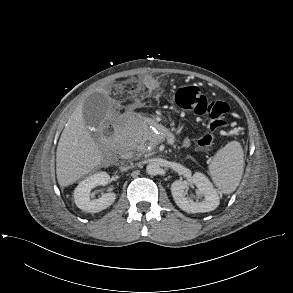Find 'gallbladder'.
<instances>
[{"label": "gallbladder", "instance_id": "bac80fb5", "mask_svg": "<svg viewBox=\"0 0 293 293\" xmlns=\"http://www.w3.org/2000/svg\"><path fill=\"white\" fill-rule=\"evenodd\" d=\"M110 106L109 97L101 92L89 95L82 107L84 123L87 126L98 128L107 115Z\"/></svg>", "mask_w": 293, "mask_h": 293}]
</instances>
